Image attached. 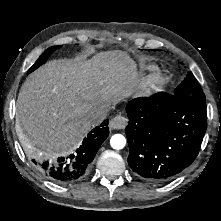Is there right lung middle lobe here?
Segmentation results:
<instances>
[{"label": "right lung middle lobe", "mask_w": 221, "mask_h": 221, "mask_svg": "<svg viewBox=\"0 0 221 221\" xmlns=\"http://www.w3.org/2000/svg\"><path fill=\"white\" fill-rule=\"evenodd\" d=\"M61 46H52L48 48L35 62V64L29 69L28 74L37 69L39 66H41L43 63L47 61V59L51 56V54L60 48Z\"/></svg>", "instance_id": "obj_1"}]
</instances>
